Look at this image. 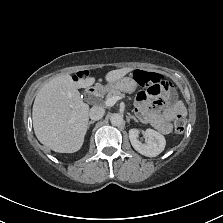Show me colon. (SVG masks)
Instances as JSON below:
<instances>
[{
  "label": "colon",
  "instance_id": "1",
  "mask_svg": "<svg viewBox=\"0 0 223 223\" xmlns=\"http://www.w3.org/2000/svg\"><path fill=\"white\" fill-rule=\"evenodd\" d=\"M134 79L138 84L146 87L162 84L166 81L164 77L158 73L146 72L142 70H137L134 72ZM186 124L187 121L184 114H178L175 119V132L182 133L186 128Z\"/></svg>",
  "mask_w": 223,
  "mask_h": 223
}]
</instances>
